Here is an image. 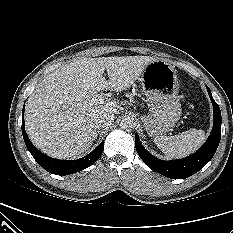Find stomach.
Returning <instances> with one entry per match:
<instances>
[{"label": "stomach", "instance_id": "stomach-1", "mask_svg": "<svg viewBox=\"0 0 233 233\" xmlns=\"http://www.w3.org/2000/svg\"><path fill=\"white\" fill-rule=\"evenodd\" d=\"M141 83L149 107L148 115L143 117L147 133L157 136L171 131L182 114L174 66L161 59L150 62Z\"/></svg>", "mask_w": 233, "mask_h": 233}]
</instances>
